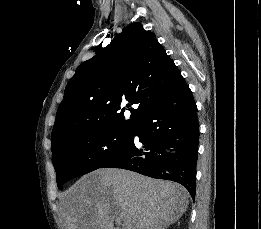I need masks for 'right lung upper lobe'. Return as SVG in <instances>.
<instances>
[{
  "mask_svg": "<svg viewBox=\"0 0 261 229\" xmlns=\"http://www.w3.org/2000/svg\"><path fill=\"white\" fill-rule=\"evenodd\" d=\"M183 77L155 34L133 23L113 43L83 62L69 80L52 130V150L78 130L133 131ZM126 106L137 104L124 120Z\"/></svg>",
  "mask_w": 261,
  "mask_h": 229,
  "instance_id": "1",
  "label": "right lung upper lobe"
}]
</instances>
